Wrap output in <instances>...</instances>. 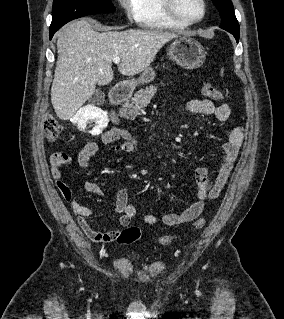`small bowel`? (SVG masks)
I'll use <instances>...</instances> for the list:
<instances>
[{
	"mask_svg": "<svg viewBox=\"0 0 284 319\" xmlns=\"http://www.w3.org/2000/svg\"><path fill=\"white\" fill-rule=\"evenodd\" d=\"M186 109L194 115H212L220 121H227L231 115V109L226 104L215 105L210 100L194 99L187 103ZM101 141L109 146L113 153L138 152L139 148L134 137L127 131L118 127H112L101 135ZM243 142V129L232 127L228 133L226 141L222 145L221 158L217 166L215 175L212 176L208 169L201 167L195 172L197 183V200L188 208L179 213H168L162 217V222L168 226H176L190 222L199 217L204 209V204L208 200L216 199L224 189L234 163L237 159L239 150ZM98 145L94 141H89L80 151L77 161L81 168L89 167L91 158L97 153ZM71 158L62 152H55L50 157L51 173L56 187L63 198L71 205L76 215L78 224L84 234L93 242L105 244L117 241L122 230H112L109 232H99L94 230L87 222V218L92 211L86 206L81 205L74 197L71 187L66 183L62 171L64 165L71 163ZM84 187L90 193L102 196L100 187L93 181L87 180ZM115 210L120 214L119 224L126 227L135 216V207L129 203L127 191L120 188L117 193ZM160 219L155 215L144 216V222L148 225H155Z\"/></svg>",
	"mask_w": 284,
	"mask_h": 319,
	"instance_id": "c3829d8e",
	"label": "small bowel"
}]
</instances>
